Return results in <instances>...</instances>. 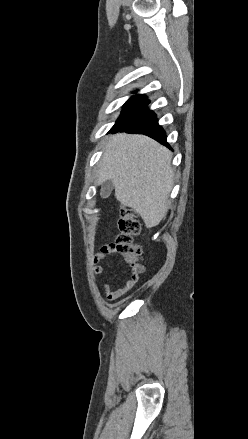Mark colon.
I'll use <instances>...</instances> for the list:
<instances>
[{"instance_id": "5ec220e1", "label": "colon", "mask_w": 248, "mask_h": 439, "mask_svg": "<svg viewBox=\"0 0 248 439\" xmlns=\"http://www.w3.org/2000/svg\"><path fill=\"white\" fill-rule=\"evenodd\" d=\"M119 228L120 234L115 243L116 250L123 256L134 272L140 275L143 271V265L140 260L142 250L133 239V236L137 235L140 231V224L137 220V214L132 208L127 206L121 207Z\"/></svg>"}]
</instances>
